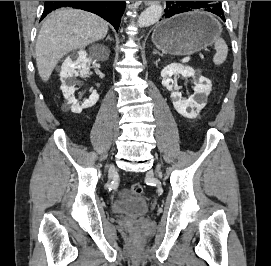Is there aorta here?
I'll list each match as a JSON object with an SVG mask.
<instances>
[{
	"mask_svg": "<svg viewBox=\"0 0 271 266\" xmlns=\"http://www.w3.org/2000/svg\"><path fill=\"white\" fill-rule=\"evenodd\" d=\"M163 8L159 4H153L145 9L137 20V26L140 28L148 27L156 23L162 16Z\"/></svg>",
	"mask_w": 271,
	"mask_h": 266,
	"instance_id": "obj_1",
	"label": "aorta"
}]
</instances>
